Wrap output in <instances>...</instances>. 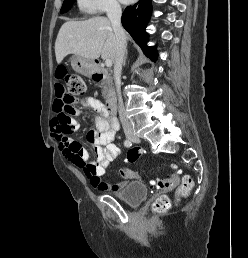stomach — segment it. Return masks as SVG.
<instances>
[{
    "instance_id": "1",
    "label": "stomach",
    "mask_w": 248,
    "mask_h": 258,
    "mask_svg": "<svg viewBox=\"0 0 248 258\" xmlns=\"http://www.w3.org/2000/svg\"><path fill=\"white\" fill-rule=\"evenodd\" d=\"M71 66L77 73L85 76H92L95 72V63L92 60L74 55L70 58Z\"/></svg>"
}]
</instances>
